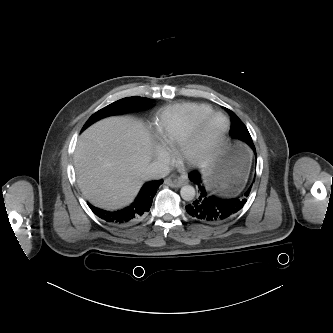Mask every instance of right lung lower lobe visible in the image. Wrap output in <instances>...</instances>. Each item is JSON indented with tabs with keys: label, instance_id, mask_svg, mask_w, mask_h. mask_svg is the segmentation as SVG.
Segmentation results:
<instances>
[{
	"label": "right lung lower lobe",
	"instance_id": "right-lung-lower-lobe-1",
	"mask_svg": "<svg viewBox=\"0 0 333 333\" xmlns=\"http://www.w3.org/2000/svg\"><path fill=\"white\" fill-rule=\"evenodd\" d=\"M162 180L149 181L143 185L135 201L128 207L118 211H106L90 204L91 210L108 223L124 226L137 222L150 210L153 198Z\"/></svg>",
	"mask_w": 333,
	"mask_h": 333
}]
</instances>
